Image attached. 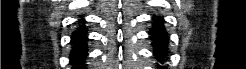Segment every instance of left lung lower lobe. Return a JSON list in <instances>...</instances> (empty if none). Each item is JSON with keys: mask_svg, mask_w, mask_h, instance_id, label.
Returning <instances> with one entry per match:
<instances>
[{"mask_svg": "<svg viewBox=\"0 0 246 69\" xmlns=\"http://www.w3.org/2000/svg\"><path fill=\"white\" fill-rule=\"evenodd\" d=\"M153 27L149 34L152 39V45L154 46L155 56L159 61H164L167 54V47L169 42V36L164 27V21L161 18H152Z\"/></svg>", "mask_w": 246, "mask_h": 69, "instance_id": "0a47b994", "label": "left lung lower lobe"}]
</instances>
